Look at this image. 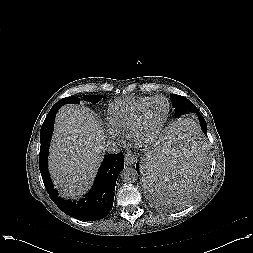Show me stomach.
<instances>
[{
  "mask_svg": "<svg viewBox=\"0 0 253 253\" xmlns=\"http://www.w3.org/2000/svg\"><path fill=\"white\" fill-rule=\"evenodd\" d=\"M147 159H148V158L145 159V162H146ZM145 162H144V165H145ZM144 165H143V169H144Z\"/></svg>",
  "mask_w": 253,
  "mask_h": 253,
  "instance_id": "0dacf381",
  "label": "stomach"
}]
</instances>
